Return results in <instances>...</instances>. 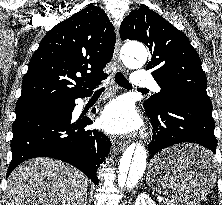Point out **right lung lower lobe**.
I'll return each instance as SVG.
<instances>
[{
  "label": "right lung lower lobe",
  "instance_id": "obj_1",
  "mask_svg": "<svg viewBox=\"0 0 222 205\" xmlns=\"http://www.w3.org/2000/svg\"><path fill=\"white\" fill-rule=\"evenodd\" d=\"M92 89L77 98L91 95ZM74 101L39 100L16 105L7 177L25 160L52 157L75 166L98 183L96 172L109 152L110 140L102 132L84 129L92 123L87 116L72 119Z\"/></svg>",
  "mask_w": 222,
  "mask_h": 205
}]
</instances>
